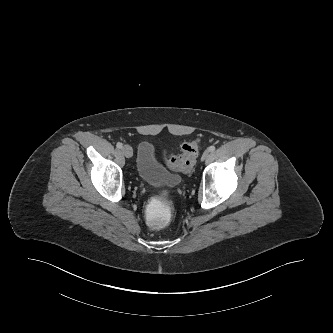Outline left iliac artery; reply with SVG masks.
Returning <instances> with one entry per match:
<instances>
[{
    "instance_id": "obj_1",
    "label": "left iliac artery",
    "mask_w": 333,
    "mask_h": 333,
    "mask_svg": "<svg viewBox=\"0 0 333 333\" xmlns=\"http://www.w3.org/2000/svg\"><path fill=\"white\" fill-rule=\"evenodd\" d=\"M215 149H216V148H215V146H213V145L209 147V151H210V152H214Z\"/></svg>"
}]
</instances>
